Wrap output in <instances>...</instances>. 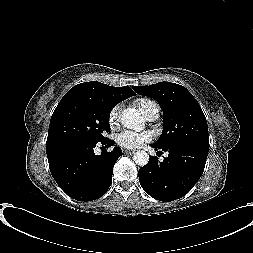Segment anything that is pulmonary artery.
<instances>
[{
  "label": "pulmonary artery",
  "mask_w": 253,
  "mask_h": 253,
  "mask_svg": "<svg viewBox=\"0 0 253 253\" xmlns=\"http://www.w3.org/2000/svg\"><path fill=\"white\" fill-rule=\"evenodd\" d=\"M158 116H159V106L157 103L152 101L146 112L145 117L150 121H154L158 118Z\"/></svg>",
  "instance_id": "e3ab8cb5"
}]
</instances>
